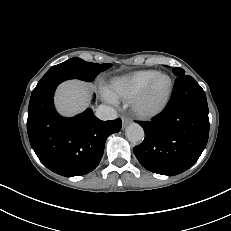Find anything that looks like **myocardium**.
<instances>
[{
	"label": "myocardium",
	"mask_w": 231,
	"mask_h": 231,
	"mask_svg": "<svg viewBox=\"0 0 231 231\" xmlns=\"http://www.w3.org/2000/svg\"><path fill=\"white\" fill-rule=\"evenodd\" d=\"M164 77L167 80V87L163 95L156 101H151L152 93L158 78ZM174 89L172 78L164 73L157 72L150 82L132 99V110L140 118L149 119L162 113L168 106Z\"/></svg>",
	"instance_id": "myocardium-1"
}]
</instances>
